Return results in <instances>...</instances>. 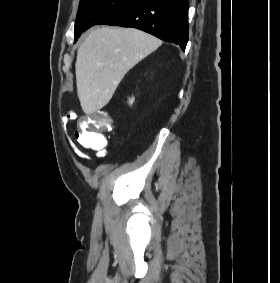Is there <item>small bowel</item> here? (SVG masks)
I'll use <instances>...</instances> for the list:
<instances>
[{
	"mask_svg": "<svg viewBox=\"0 0 280 283\" xmlns=\"http://www.w3.org/2000/svg\"><path fill=\"white\" fill-rule=\"evenodd\" d=\"M71 121H72V119L70 118V116L66 114L64 116L63 120H62V125H63V128H64L65 131H67L68 126H69ZM71 146H72L73 151L75 152V154L78 157H80L82 159H87L86 155L82 151H80L77 147H75V145L71 144ZM106 155H107L106 153H103L102 157H105Z\"/></svg>",
	"mask_w": 280,
	"mask_h": 283,
	"instance_id": "1",
	"label": "small bowel"
}]
</instances>
